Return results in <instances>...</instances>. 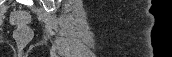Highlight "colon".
Masks as SVG:
<instances>
[{"instance_id":"obj_1","label":"colon","mask_w":172,"mask_h":57,"mask_svg":"<svg viewBox=\"0 0 172 57\" xmlns=\"http://www.w3.org/2000/svg\"><path fill=\"white\" fill-rule=\"evenodd\" d=\"M30 17L24 11H16L11 15V23L16 26L15 39L20 47L26 46L32 39V31L28 27Z\"/></svg>"}]
</instances>
